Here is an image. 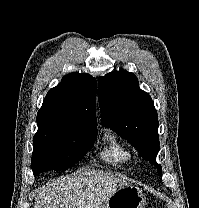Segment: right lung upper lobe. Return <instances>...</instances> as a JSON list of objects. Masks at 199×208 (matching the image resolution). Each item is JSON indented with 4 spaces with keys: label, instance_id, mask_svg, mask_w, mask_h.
Masks as SVG:
<instances>
[{
    "label": "right lung upper lobe",
    "instance_id": "obj_1",
    "mask_svg": "<svg viewBox=\"0 0 199 208\" xmlns=\"http://www.w3.org/2000/svg\"><path fill=\"white\" fill-rule=\"evenodd\" d=\"M96 79L89 74L64 76L45 97L37 123L58 127H97Z\"/></svg>",
    "mask_w": 199,
    "mask_h": 208
}]
</instances>
